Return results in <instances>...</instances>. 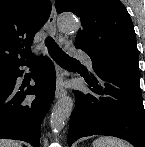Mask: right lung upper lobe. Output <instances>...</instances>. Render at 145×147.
Wrapping results in <instances>:
<instances>
[{
  "mask_svg": "<svg viewBox=\"0 0 145 147\" xmlns=\"http://www.w3.org/2000/svg\"><path fill=\"white\" fill-rule=\"evenodd\" d=\"M51 8L49 0H0V71L33 58V38Z\"/></svg>",
  "mask_w": 145,
  "mask_h": 147,
  "instance_id": "obj_1",
  "label": "right lung upper lobe"
}]
</instances>
